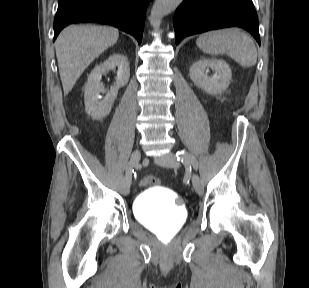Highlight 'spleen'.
<instances>
[{
    "mask_svg": "<svg viewBox=\"0 0 309 288\" xmlns=\"http://www.w3.org/2000/svg\"><path fill=\"white\" fill-rule=\"evenodd\" d=\"M196 44L209 55H229L244 68L257 63V49L253 40L238 28L203 33L196 40Z\"/></svg>",
    "mask_w": 309,
    "mask_h": 288,
    "instance_id": "1",
    "label": "spleen"
}]
</instances>
